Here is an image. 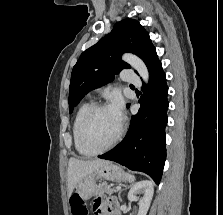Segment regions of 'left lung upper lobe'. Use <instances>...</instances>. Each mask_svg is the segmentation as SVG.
<instances>
[{
	"label": "left lung upper lobe",
	"mask_w": 223,
	"mask_h": 215,
	"mask_svg": "<svg viewBox=\"0 0 223 215\" xmlns=\"http://www.w3.org/2000/svg\"><path fill=\"white\" fill-rule=\"evenodd\" d=\"M124 52L139 56L148 71L159 62L149 34L138 21L117 22L108 35L81 54L73 67L69 87L70 113L85 94L112 81L122 69L130 68L121 60Z\"/></svg>",
	"instance_id": "obj_1"
}]
</instances>
